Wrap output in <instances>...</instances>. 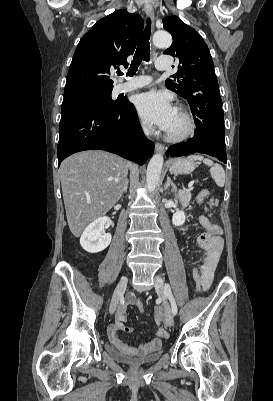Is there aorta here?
Returning a JSON list of instances; mask_svg holds the SVG:
<instances>
[{"label":"aorta","mask_w":273,"mask_h":401,"mask_svg":"<svg viewBox=\"0 0 273 401\" xmlns=\"http://www.w3.org/2000/svg\"><path fill=\"white\" fill-rule=\"evenodd\" d=\"M153 44L158 48H166L172 44V37L166 31H158L153 36ZM163 156L155 154L152 156L146 171V185L150 192L154 191L163 167Z\"/></svg>","instance_id":"obj_1"}]
</instances>
